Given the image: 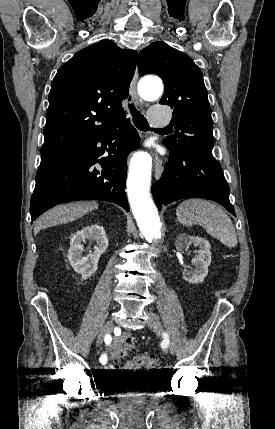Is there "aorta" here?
<instances>
[{
  "label": "aorta",
  "mask_w": 275,
  "mask_h": 429,
  "mask_svg": "<svg viewBox=\"0 0 275 429\" xmlns=\"http://www.w3.org/2000/svg\"><path fill=\"white\" fill-rule=\"evenodd\" d=\"M162 92V82L157 78H147L140 84V95L144 100H156ZM150 182V157L144 153L134 155L127 178L128 199L139 230L147 241L152 242L161 236V223L150 197Z\"/></svg>",
  "instance_id": "aorta-1"
}]
</instances>
